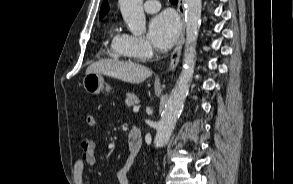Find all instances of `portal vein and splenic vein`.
Masks as SVG:
<instances>
[{
  "instance_id": "18ae733b",
  "label": "portal vein and splenic vein",
  "mask_w": 293,
  "mask_h": 184,
  "mask_svg": "<svg viewBox=\"0 0 293 184\" xmlns=\"http://www.w3.org/2000/svg\"><path fill=\"white\" fill-rule=\"evenodd\" d=\"M139 111V107H134L133 108V112H138Z\"/></svg>"
}]
</instances>
